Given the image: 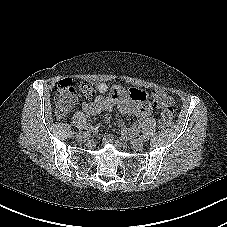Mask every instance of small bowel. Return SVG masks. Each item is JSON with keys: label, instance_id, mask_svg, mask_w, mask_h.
Segmentation results:
<instances>
[{"label": "small bowel", "instance_id": "obj_1", "mask_svg": "<svg viewBox=\"0 0 227 227\" xmlns=\"http://www.w3.org/2000/svg\"><path fill=\"white\" fill-rule=\"evenodd\" d=\"M98 92L92 101L84 102L82 109L88 115H96L102 111H111L115 107L126 115H132L136 121L130 127L121 129L125 137L134 136L140 129L141 121L147 118L152 109L147 103V94L138 88H123L121 86L109 87L105 83L98 84ZM109 138V137H107Z\"/></svg>", "mask_w": 227, "mask_h": 227}]
</instances>
